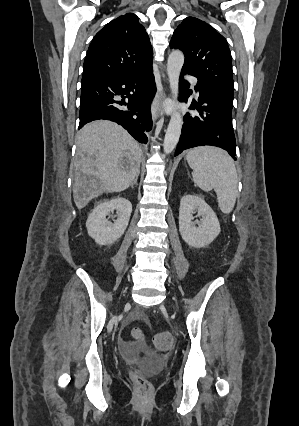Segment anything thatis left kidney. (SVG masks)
I'll use <instances>...</instances> for the list:
<instances>
[{"instance_id": "1", "label": "left kidney", "mask_w": 299, "mask_h": 426, "mask_svg": "<svg viewBox=\"0 0 299 426\" xmlns=\"http://www.w3.org/2000/svg\"><path fill=\"white\" fill-rule=\"evenodd\" d=\"M201 217L198 227L193 214ZM179 231L182 239L191 247L209 245L220 233V224L212 208L198 195H185L180 201Z\"/></svg>"}]
</instances>
